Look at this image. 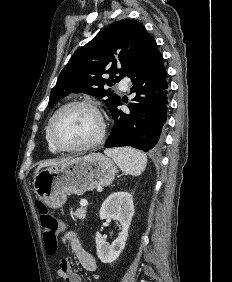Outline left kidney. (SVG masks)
<instances>
[{
  "mask_svg": "<svg viewBox=\"0 0 232 282\" xmlns=\"http://www.w3.org/2000/svg\"><path fill=\"white\" fill-rule=\"evenodd\" d=\"M134 214V205L131 194L125 191H118L110 194L103 202L99 216L100 219L112 218L118 220L122 231L116 240L107 244L102 235L97 232L95 241L98 258L103 263H112L120 256L128 238V229Z\"/></svg>",
  "mask_w": 232,
  "mask_h": 282,
  "instance_id": "5707ae66",
  "label": "left kidney"
}]
</instances>
